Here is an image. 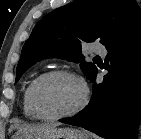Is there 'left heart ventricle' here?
Segmentation results:
<instances>
[{
    "mask_svg": "<svg viewBox=\"0 0 141 139\" xmlns=\"http://www.w3.org/2000/svg\"><path fill=\"white\" fill-rule=\"evenodd\" d=\"M81 94V86L76 80L57 76L41 83L37 91V101L45 113L60 114L75 107Z\"/></svg>",
    "mask_w": 141,
    "mask_h": 139,
    "instance_id": "obj_1",
    "label": "left heart ventricle"
}]
</instances>
